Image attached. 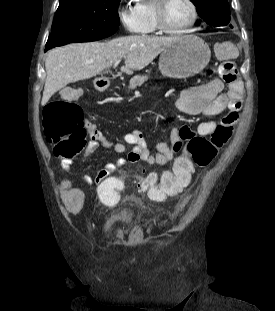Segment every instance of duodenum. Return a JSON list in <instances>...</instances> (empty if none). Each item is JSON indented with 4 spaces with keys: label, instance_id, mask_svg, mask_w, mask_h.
<instances>
[{
    "label": "duodenum",
    "instance_id": "obj_1",
    "mask_svg": "<svg viewBox=\"0 0 275 311\" xmlns=\"http://www.w3.org/2000/svg\"><path fill=\"white\" fill-rule=\"evenodd\" d=\"M95 88L98 92L103 93L108 88V78L107 77H100L96 79Z\"/></svg>",
    "mask_w": 275,
    "mask_h": 311
}]
</instances>
